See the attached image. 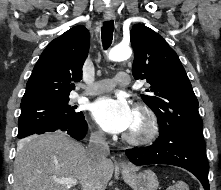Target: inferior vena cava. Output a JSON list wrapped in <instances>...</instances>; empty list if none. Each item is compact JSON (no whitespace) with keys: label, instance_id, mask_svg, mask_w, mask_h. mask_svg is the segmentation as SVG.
Here are the masks:
<instances>
[{"label":"inferior vena cava","instance_id":"obj_1","mask_svg":"<svg viewBox=\"0 0 221 190\" xmlns=\"http://www.w3.org/2000/svg\"><path fill=\"white\" fill-rule=\"evenodd\" d=\"M86 151L90 159L95 163L104 162L107 159L110 150L102 131L91 133Z\"/></svg>","mask_w":221,"mask_h":190}]
</instances>
